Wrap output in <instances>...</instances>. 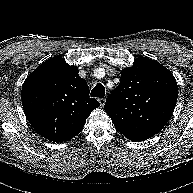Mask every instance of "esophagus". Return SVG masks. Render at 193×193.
<instances>
[{
  "instance_id": "1",
  "label": "esophagus",
  "mask_w": 193,
  "mask_h": 193,
  "mask_svg": "<svg viewBox=\"0 0 193 193\" xmlns=\"http://www.w3.org/2000/svg\"><path fill=\"white\" fill-rule=\"evenodd\" d=\"M98 101H99V103H100V105H101L102 107H103V106L105 105V103H106V99H105V98H99Z\"/></svg>"
}]
</instances>
